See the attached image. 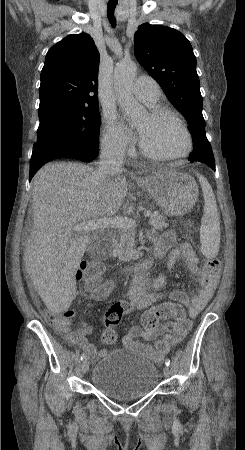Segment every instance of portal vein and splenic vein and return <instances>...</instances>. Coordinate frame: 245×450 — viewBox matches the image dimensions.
<instances>
[{"label":"portal vein and splenic vein","instance_id":"obj_1","mask_svg":"<svg viewBox=\"0 0 245 450\" xmlns=\"http://www.w3.org/2000/svg\"><path fill=\"white\" fill-rule=\"evenodd\" d=\"M150 211H145L143 216L150 217ZM136 226L135 220L128 217H116V218H99L94 220H89L75 225L72 228L73 232H88L91 230H99L105 228H115V229H131Z\"/></svg>","mask_w":245,"mask_h":450}]
</instances>
